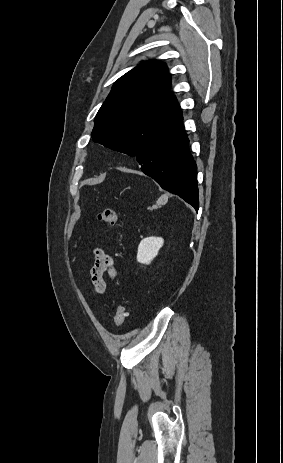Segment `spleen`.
<instances>
[{"mask_svg":"<svg viewBox=\"0 0 283 463\" xmlns=\"http://www.w3.org/2000/svg\"><path fill=\"white\" fill-rule=\"evenodd\" d=\"M168 199V196L166 194L162 195L159 200H158V204H163L167 201Z\"/></svg>","mask_w":283,"mask_h":463,"instance_id":"spleen-1","label":"spleen"}]
</instances>
